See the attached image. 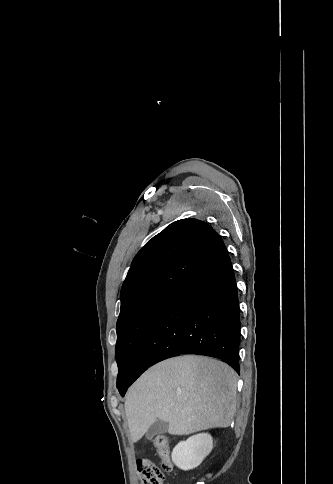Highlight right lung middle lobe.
Instances as JSON below:
<instances>
[{
    "label": "right lung middle lobe",
    "mask_w": 333,
    "mask_h": 484,
    "mask_svg": "<svg viewBox=\"0 0 333 484\" xmlns=\"http://www.w3.org/2000/svg\"><path fill=\"white\" fill-rule=\"evenodd\" d=\"M173 293L174 291L159 293L134 306L118 318L115 352L118 364L117 388L119 391L124 389L128 382L130 367L137 347L158 312Z\"/></svg>",
    "instance_id": "1"
}]
</instances>
